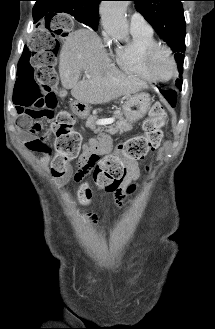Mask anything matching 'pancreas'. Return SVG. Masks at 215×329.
<instances>
[{"label":"pancreas","mask_w":215,"mask_h":329,"mask_svg":"<svg viewBox=\"0 0 215 329\" xmlns=\"http://www.w3.org/2000/svg\"><path fill=\"white\" fill-rule=\"evenodd\" d=\"M113 118L117 119L116 123L109 126L108 129H106L107 132L113 133L117 130H123L128 131L131 129V125L127 123L126 119H124L123 115L121 113H116ZM97 117L96 116H88L86 119V126L91 128L94 131L101 132L104 130V128L96 126Z\"/></svg>","instance_id":"1"}]
</instances>
